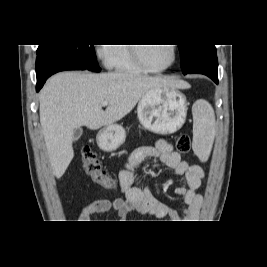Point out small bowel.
Returning a JSON list of instances; mask_svg holds the SVG:
<instances>
[{"label": "small bowel", "mask_w": 267, "mask_h": 267, "mask_svg": "<svg viewBox=\"0 0 267 267\" xmlns=\"http://www.w3.org/2000/svg\"><path fill=\"white\" fill-rule=\"evenodd\" d=\"M150 157L158 158L160 165L171 168L176 175L185 178L186 185L177 187L175 194L182 197L187 205L182 212V218L188 222L196 220L202 205V197L197 190L201 186L205 173L199 165H190L182 159L171 144L160 139L154 146L139 147L129 155L124 169L118 175V185L124 197L92 201L80 213L79 222H90L93 215L110 210L115 211L121 220H125L130 212L138 211L158 219L176 222L175 220L180 217L175 210L159 201L149 188H140L135 184L134 169Z\"/></svg>", "instance_id": "c3829d8e"}]
</instances>
